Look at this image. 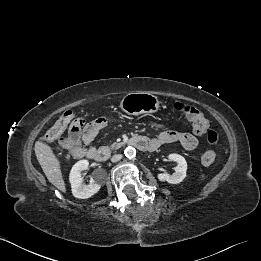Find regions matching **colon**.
Segmentation results:
<instances>
[{"mask_svg": "<svg viewBox=\"0 0 261 261\" xmlns=\"http://www.w3.org/2000/svg\"><path fill=\"white\" fill-rule=\"evenodd\" d=\"M175 108L185 115L196 134H206L208 143L211 147H214L217 144L219 139L218 132L210 129L209 121L199 109L180 103L175 104ZM83 126L84 121L81 118H78L73 112L68 111L64 113L56 124L45 133L43 139L47 142L58 140L68 128L69 140L75 141L79 139ZM65 140L66 139L61 142L63 143ZM215 159L216 151L214 148L208 149L201 156V162L205 166H209L214 163Z\"/></svg>", "mask_w": 261, "mask_h": 261, "instance_id": "5ec220e1", "label": "colon"}]
</instances>
